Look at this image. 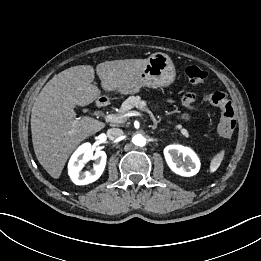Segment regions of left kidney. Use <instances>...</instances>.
<instances>
[{"instance_id": "5707ae66", "label": "left kidney", "mask_w": 261, "mask_h": 261, "mask_svg": "<svg viewBox=\"0 0 261 261\" xmlns=\"http://www.w3.org/2000/svg\"><path fill=\"white\" fill-rule=\"evenodd\" d=\"M164 156L170 169L178 175L190 177L199 172L200 160L189 147L169 145L164 149Z\"/></svg>"}]
</instances>
